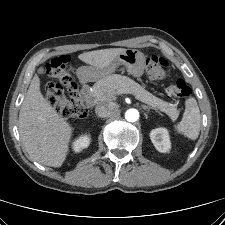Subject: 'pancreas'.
Listing matches in <instances>:
<instances>
[{"label": "pancreas", "mask_w": 225, "mask_h": 225, "mask_svg": "<svg viewBox=\"0 0 225 225\" xmlns=\"http://www.w3.org/2000/svg\"><path fill=\"white\" fill-rule=\"evenodd\" d=\"M124 91L130 92L136 99L147 103L152 108L165 112L172 121H175L179 116L175 104L157 98L134 80L119 74H112L97 81L89 91V96L97 101L113 100L116 95L122 94Z\"/></svg>", "instance_id": "1"}]
</instances>
